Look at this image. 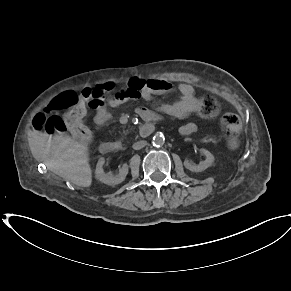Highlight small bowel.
Returning a JSON list of instances; mask_svg holds the SVG:
<instances>
[{
    "mask_svg": "<svg viewBox=\"0 0 291 291\" xmlns=\"http://www.w3.org/2000/svg\"><path fill=\"white\" fill-rule=\"evenodd\" d=\"M105 86L110 87V91L107 93L101 90ZM175 89L176 87L171 82L164 79L133 77L129 79L124 89H118L111 83L96 88L93 90L95 97L88 102V107L95 110L94 122L97 125L103 126L111 119V114L108 110L109 107H117L127 101L138 98L150 100L156 94H165ZM177 90L180 93V99L196 98L193 87L187 83L180 84ZM179 100L170 104H162L159 110L174 118L180 119L186 118L194 113L193 107H181L179 105ZM136 114L141 116L143 120H150L151 122H157L161 118V113L159 111H150L145 107H138L136 109ZM196 129V124L189 122L180 128V132L183 135H188L195 132Z\"/></svg>",
    "mask_w": 291,
    "mask_h": 291,
    "instance_id": "c3829d8e",
    "label": "small bowel"
}]
</instances>
